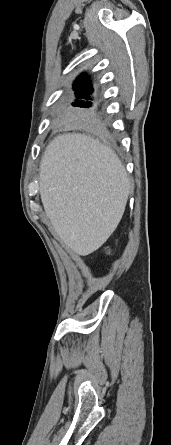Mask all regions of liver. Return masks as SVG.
Instances as JSON below:
<instances>
[{
  "instance_id": "liver-1",
  "label": "liver",
  "mask_w": 171,
  "mask_h": 445,
  "mask_svg": "<svg viewBox=\"0 0 171 445\" xmlns=\"http://www.w3.org/2000/svg\"><path fill=\"white\" fill-rule=\"evenodd\" d=\"M40 195L61 242L77 255L100 248L117 228L131 184L115 152L80 133L56 136L40 163Z\"/></svg>"
}]
</instances>
